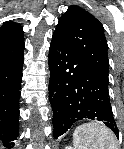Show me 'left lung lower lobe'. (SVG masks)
Wrapping results in <instances>:
<instances>
[{
    "instance_id": "obj_1",
    "label": "left lung lower lobe",
    "mask_w": 124,
    "mask_h": 149,
    "mask_svg": "<svg viewBox=\"0 0 124 149\" xmlns=\"http://www.w3.org/2000/svg\"><path fill=\"white\" fill-rule=\"evenodd\" d=\"M49 99L57 139L83 119L103 122L118 137L108 93V78L100 75L56 32L49 50Z\"/></svg>"
}]
</instances>
